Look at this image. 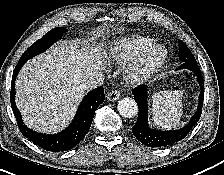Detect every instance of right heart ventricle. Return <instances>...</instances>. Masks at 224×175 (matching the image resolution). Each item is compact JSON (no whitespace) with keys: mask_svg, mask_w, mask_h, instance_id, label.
Masks as SVG:
<instances>
[{"mask_svg":"<svg viewBox=\"0 0 224 175\" xmlns=\"http://www.w3.org/2000/svg\"><path fill=\"white\" fill-rule=\"evenodd\" d=\"M154 43V39L131 35L112 42L105 52V60L109 63L121 64L134 59L142 50Z\"/></svg>","mask_w":224,"mask_h":175,"instance_id":"e07e8e85","label":"right heart ventricle"}]
</instances>
